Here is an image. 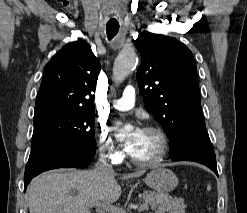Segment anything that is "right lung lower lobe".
<instances>
[{"label":"right lung lower lobe","mask_w":247,"mask_h":213,"mask_svg":"<svg viewBox=\"0 0 247 213\" xmlns=\"http://www.w3.org/2000/svg\"><path fill=\"white\" fill-rule=\"evenodd\" d=\"M94 154L95 150L75 151L67 142H62L29 156L24 175V191L32 178L41 172L56 168L85 167Z\"/></svg>","instance_id":"right-lung-lower-lobe-1"}]
</instances>
